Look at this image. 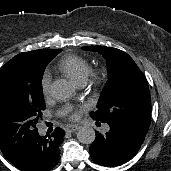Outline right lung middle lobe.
I'll return each instance as SVG.
<instances>
[{"instance_id":"dd1d6c3e","label":"right lung middle lobe","mask_w":171,"mask_h":171,"mask_svg":"<svg viewBox=\"0 0 171 171\" xmlns=\"http://www.w3.org/2000/svg\"><path fill=\"white\" fill-rule=\"evenodd\" d=\"M61 51L23 52L0 69V149L7 159L38 133L36 124L45 109L42 76Z\"/></svg>"}]
</instances>
